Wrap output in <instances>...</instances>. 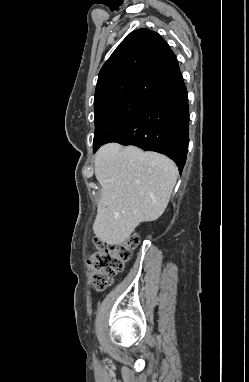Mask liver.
<instances>
[{
  "mask_svg": "<svg viewBox=\"0 0 249 382\" xmlns=\"http://www.w3.org/2000/svg\"><path fill=\"white\" fill-rule=\"evenodd\" d=\"M95 176L102 188L93 230L108 245L130 237L141 222L165 211L178 177L165 155L108 143L96 153Z\"/></svg>",
  "mask_w": 249,
  "mask_h": 382,
  "instance_id": "liver-1",
  "label": "liver"
}]
</instances>
